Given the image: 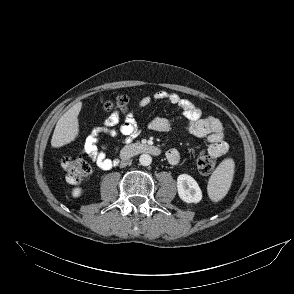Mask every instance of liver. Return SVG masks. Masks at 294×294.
Listing matches in <instances>:
<instances>
[{
	"instance_id": "6515ba94",
	"label": "liver",
	"mask_w": 294,
	"mask_h": 294,
	"mask_svg": "<svg viewBox=\"0 0 294 294\" xmlns=\"http://www.w3.org/2000/svg\"><path fill=\"white\" fill-rule=\"evenodd\" d=\"M82 108V102L73 105L58 120L51 139V145L54 148L62 147L72 141L79 134L78 115Z\"/></svg>"
}]
</instances>
